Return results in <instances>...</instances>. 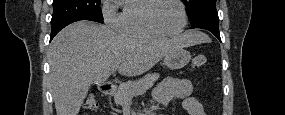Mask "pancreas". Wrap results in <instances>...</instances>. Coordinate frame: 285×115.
<instances>
[{"label": "pancreas", "mask_w": 285, "mask_h": 115, "mask_svg": "<svg viewBox=\"0 0 285 115\" xmlns=\"http://www.w3.org/2000/svg\"><path fill=\"white\" fill-rule=\"evenodd\" d=\"M159 77L160 75L158 73H152L147 74L143 78L136 81H128L126 83H121L113 93L115 103L117 105H123L129 97L138 93V90L140 88H151L154 82L159 79Z\"/></svg>", "instance_id": "1"}]
</instances>
